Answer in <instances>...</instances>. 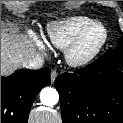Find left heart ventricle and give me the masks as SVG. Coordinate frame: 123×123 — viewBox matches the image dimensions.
<instances>
[{"label": "left heart ventricle", "mask_w": 123, "mask_h": 123, "mask_svg": "<svg viewBox=\"0 0 123 123\" xmlns=\"http://www.w3.org/2000/svg\"><path fill=\"white\" fill-rule=\"evenodd\" d=\"M103 37V30L101 28H95L92 30L83 40L78 48L77 54L84 56L92 51Z\"/></svg>", "instance_id": "b2bd125f"}]
</instances>
